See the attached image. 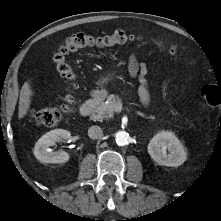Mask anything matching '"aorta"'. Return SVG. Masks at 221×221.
<instances>
[{
	"mask_svg": "<svg viewBox=\"0 0 221 221\" xmlns=\"http://www.w3.org/2000/svg\"><path fill=\"white\" fill-rule=\"evenodd\" d=\"M115 137L118 145L124 146L129 142V134L125 131L117 132Z\"/></svg>",
	"mask_w": 221,
	"mask_h": 221,
	"instance_id": "obj_1",
	"label": "aorta"
}]
</instances>
